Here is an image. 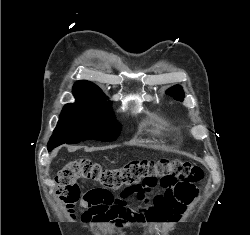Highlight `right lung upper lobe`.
<instances>
[{
    "label": "right lung upper lobe",
    "instance_id": "obj_1",
    "mask_svg": "<svg viewBox=\"0 0 250 235\" xmlns=\"http://www.w3.org/2000/svg\"><path fill=\"white\" fill-rule=\"evenodd\" d=\"M73 94L76 101L81 102H106V97L102 91L93 83L82 80L75 83Z\"/></svg>",
    "mask_w": 250,
    "mask_h": 235
}]
</instances>
